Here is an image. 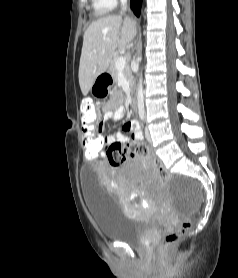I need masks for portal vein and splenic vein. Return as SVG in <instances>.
<instances>
[{"label": "portal vein and splenic vein", "instance_id": "1", "mask_svg": "<svg viewBox=\"0 0 238 278\" xmlns=\"http://www.w3.org/2000/svg\"><path fill=\"white\" fill-rule=\"evenodd\" d=\"M125 66H126V58L125 57H119L118 59H117V61H116V68L118 69V70H120V69H124L125 68Z\"/></svg>", "mask_w": 238, "mask_h": 278}]
</instances>
